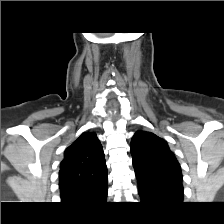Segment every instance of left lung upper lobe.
<instances>
[{
    "instance_id": "5c2ea615",
    "label": "left lung upper lobe",
    "mask_w": 224,
    "mask_h": 224,
    "mask_svg": "<svg viewBox=\"0 0 224 224\" xmlns=\"http://www.w3.org/2000/svg\"><path fill=\"white\" fill-rule=\"evenodd\" d=\"M130 147L135 172L147 179L182 182L180 164L165 140L139 131L133 136Z\"/></svg>"
}]
</instances>
